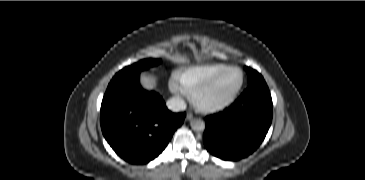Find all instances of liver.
<instances>
[{
	"label": "liver",
	"mask_w": 365,
	"mask_h": 180,
	"mask_svg": "<svg viewBox=\"0 0 365 180\" xmlns=\"http://www.w3.org/2000/svg\"><path fill=\"white\" fill-rule=\"evenodd\" d=\"M141 83L144 88L149 90L154 89L156 87V80L153 76L142 74Z\"/></svg>",
	"instance_id": "liver-1"
}]
</instances>
